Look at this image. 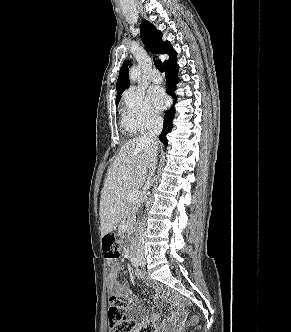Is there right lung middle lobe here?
I'll list each match as a JSON object with an SVG mask.
<instances>
[{
  "label": "right lung middle lobe",
  "mask_w": 291,
  "mask_h": 332,
  "mask_svg": "<svg viewBox=\"0 0 291 332\" xmlns=\"http://www.w3.org/2000/svg\"><path fill=\"white\" fill-rule=\"evenodd\" d=\"M119 101L116 102V106L118 105Z\"/></svg>",
  "instance_id": "right-lung-middle-lobe-1"
}]
</instances>
